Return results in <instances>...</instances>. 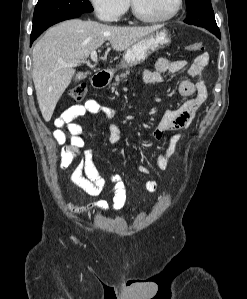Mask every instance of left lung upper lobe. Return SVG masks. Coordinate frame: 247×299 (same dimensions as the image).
I'll return each mask as SVG.
<instances>
[{"instance_id":"1","label":"left lung upper lobe","mask_w":247,"mask_h":299,"mask_svg":"<svg viewBox=\"0 0 247 299\" xmlns=\"http://www.w3.org/2000/svg\"><path fill=\"white\" fill-rule=\"evenodd\" d=\"M187 24L203 27L212 31H219L210 0H186Z\"/></svg>"}]
</instances>
